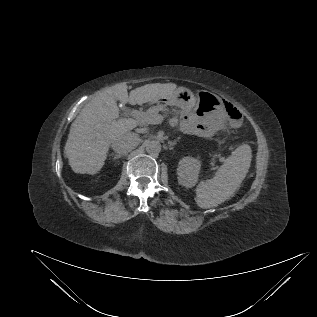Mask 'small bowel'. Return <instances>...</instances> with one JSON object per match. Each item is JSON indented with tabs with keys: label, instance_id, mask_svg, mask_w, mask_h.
<instances>
[{
	"label": "small bowel",
	"instance_id": "small-bowel-1",
	"mask_svg": "<svg viewBox=\"0 0 317 317\" xmlns=\"http://www.w3.org/2000/svg\"><path fill=\"white\" fill-rule=\"evenodd\" d=\"M182 128L187 134L200 137H209L214 135L219 130L220 123L214 117H205L203 121L199 123L192 119H185L182 122Z\"/></svg>",
	"mask_w": 317,
	"mask_h": 317
}]
</instances>
